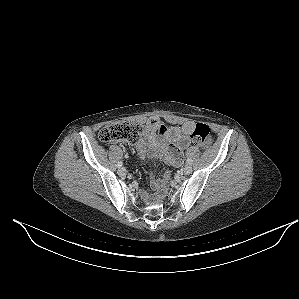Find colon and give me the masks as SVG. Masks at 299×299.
Segmentation results:
<instances>
[{
	"label": "colon",
	"mask_w": 299,
	"mask_h": 299,
	"mask_svg": "<svg viewBox=\"0 0 299 299\" xmlns=\"http://www.w3.org/2000/svg\"><path fill=\"white\" fill-rule=\"evenodd\" d=\"M143 132L144 127L140 124L114 121L101 129L99 139L105 143L117 141L135 143ZM209 134V127L206 124L198 123L191 133V138L196 146L203 147L209 143ZM158 193L160 196L166 193V185L164 182L160 185Z\"/></svg>",
	"instance_id": "obj_1"
}]
</instances>
